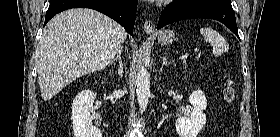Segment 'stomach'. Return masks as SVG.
Here are the masks:
<instances>
[{
    "instance_id": "0dacf381",
    "label": "stomach",
    "mask_w": 280,
    "mask_h": 137,
    "mask_svg": "<svg viewBox=\"0 0 280 137\" xmlns=\"http://www.w3.org/2000/svg\"><path fill=\"white\" fill-rule=\"evenodd\" d=\"M176 40L175 33L172 30H162L158 33V41L162 45H170Z\"/></svg>"
}]
</instances>
